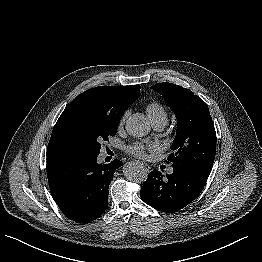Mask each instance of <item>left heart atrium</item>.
Returning <instances> with one entry per match:
<instances>
[{"mask_svg":"<svg viewBox=\"0 0 262 262\" xmlns=\"http://www.w3.org/2000/svg\"><path fill=\"white\" fill-rule=\"evenodd\" d=\"M154 149L155 147L153 145H145L143 143H134L127 147V151L137 157H144L147 150L152 151Z\"/></svg>","mask_w":262,"mask_h":262,"instance_id":"left-heart-atrium-1","label":"left heart atrium"}]
</instances>
